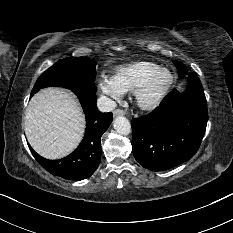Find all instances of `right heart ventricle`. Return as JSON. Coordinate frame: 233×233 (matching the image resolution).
Listing matches in <instances>:
<instances>
[{
  "mask_svg": "<svg viewBox=\"0 0 233 233\" xmlns=\"http://www.w3.org/2000/svg\"><path fill=\"white\" fill-rule=\"evenodd\" d=\"M158 68L160 67L152 62H134L119 67L114 79L124 92H133Z\"/></svg>",
  "mask_w": 233,
  "mask_h": 233,
  "instance_id": "1",
  "label": "right heart ventricle"
}]
</instances>
